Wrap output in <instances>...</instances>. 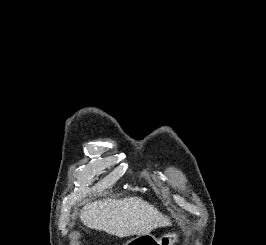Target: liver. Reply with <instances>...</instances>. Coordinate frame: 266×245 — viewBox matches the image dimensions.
I'll return each instance as SVG.
<instances>
[{
  "mask_svg": "<svg viewBox=\"0 0 266 245\" xmlns=\"http://www.w3.org/2000/svg\"><path fill=\"white\" fill-rule=\"evenodd\" d=\"M80 219L85 227L116 237L149 235L153 229L170 225L168 217L141 197L94 201L81 209Z\"/></svg>",
  "mask_w": 266,
  "mask_h": 245,
  "instance_id": "6515ba94",
  "label": "liver"
}]
</instances>
